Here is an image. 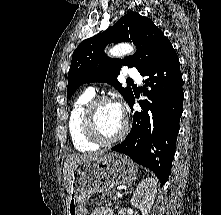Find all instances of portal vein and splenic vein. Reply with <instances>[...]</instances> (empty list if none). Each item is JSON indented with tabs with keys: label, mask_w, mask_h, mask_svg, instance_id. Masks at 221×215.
<instances>
[{
	"label": "portal vein and splenic vein",
	"mask_w": 221,
	"mask_h": 215,
	"mask_svg": "<svg viewBox=\"0 0 221 215\" xmlns=\"http://www.w3.org/2000/svg\"><path fill=\"white\" fill-rule=\"evenodd\" d=\"M118 197H119V195H118ZM118 197H117V196H114L112 199H116V200H117Z\"/></svg>",
	"instance_id": "portal-vein-and-splenic-vein-1"
}]
</instances>
